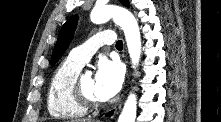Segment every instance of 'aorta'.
Instances as JSON below:
<instances>
[{
    "label": "aorta",
    "instance_id": "762f6f07",
    "mask_svg": "<svg viewBox=\"0 0 221 122\" xmlns=\"http://www.w3.org/2000/svg\"><path fill=\"white\" fill-rule=\"evenodd\" d=\"M91 21L96 24L104 23L113 19L124 31L128 52L135 68L141 56V36L138 22L133 14L127 9L115 5L96 6L90 15ZM137 111L136 95L130 93L118 122H135Z\"/></svg>",
    "mask_w": 221,
    "mask_h": 122
}]
</instances>
